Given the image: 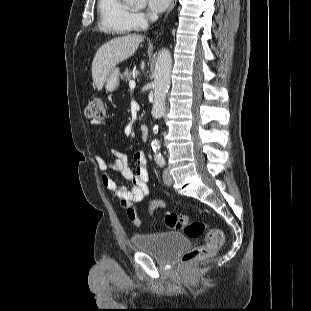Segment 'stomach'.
<instances>
[{"instance_id":"stomach-1","label":"stomach","mask_w":311,"mask_h":311,"mask_svg":"<svg viewBox=\"0 0 311 311\" xmlns=\"http://www.w3.org/2000/svg\"><path fill=\"white\" fill-rule=\"evenodd\" d=\"M119 87V69H113L105 80V89L108 92L115 91Z\"/></svg>"}]
</instances>
